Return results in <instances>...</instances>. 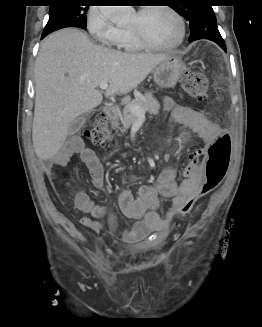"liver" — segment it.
<instances>
[{
    "label": "liver",
    "mask_w": 262,
    "mask_h": 327,
    "mask_svg": "<svg viewBox=\"0 0 262 327\" xmlns=\"http://www.w3.org/2000/svg\"><path fill=\"white\" fill-rule=\"evenodd\" d=\"M170 56L124 53L92 43L80 30L66 28L49 35L35 63V110L32 140L41 160L63 146L71 122L101 104L105 96L125 95Z\"/></svg>",
    "instance_id": "obj_1"
}]
</instances>
